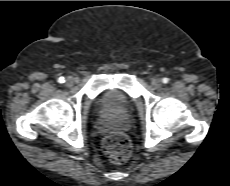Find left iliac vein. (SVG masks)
I'll return each instance as SVG.
<instances>
[{
    "instance_id": "obj_1",
    "label": "left iliac vein",
    "mask_w": 230,
    "mask_h": 186,
    "mask_svg": "<svg viewBox=\"0 0 230 186\" xmlns=\"http://www.w3.org/2000/svg\"><path fill=\"white\" fill-rule=\"evenodd\" d=\"M151 83L153 87L159 88L162 85V80L160 78H155Z\"/></svg>"
}]
</instances>
